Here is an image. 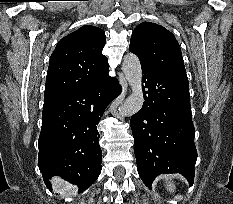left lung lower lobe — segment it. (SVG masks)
Wrapping results in <instances>:
<instances>
[{"label": "left lung lower lobe", "mask_w": 233, "mask_h": 204, "mask_svg": "<svg viewBox=\"0 0 233 204\" xmlns=\"http://www.w3.org/2000/svg\"><path fill=\"white\" fill-rule=\"evenodd\" d=\"M142 74L145 102L130 121L138 173L149 188L162 173H180L192 185L197 151L188 79L146 65Z\"/></svg>", "instance_id": "obj_1"}]
</instances>
